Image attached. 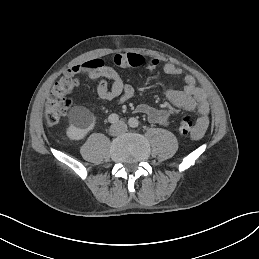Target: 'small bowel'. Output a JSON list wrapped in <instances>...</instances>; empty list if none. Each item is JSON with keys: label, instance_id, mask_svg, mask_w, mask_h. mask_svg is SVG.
Masks as SVG:
<instances>
[{"label": "small bowel", "instance_id": "obj_1", "mask_svg": "<svg viewBox=\"0 0 259 259\" xmlns=\"http://www.w3.org/2000/svg\"><path fill=\"white\" fill-rule=\"evenodd\" d=\"M110 64L102 59H93L85 63L75 65L67 70L66 74H84L88 79L97 80L96 91L103 100H117L124 103L132 98L134 89L121 79L115 67L135 68L144 66L149 70H155L159 61L149 59L137 53L115 54L110 58ZM163 70L171 76H180L182 69L172 63L164 65ZM111 82V85H109ZM184 87L181 90L169 89L165 91V97L174 106L185 111H196L198 113L192 137L201 138L209 126V103L207 95L196 85L195 79L191 75L184 77ZM136 112L145 115L152 123L167 125L168 112L164 109L154 108L149 105H139Z\"/></svg>", "mask_w": 259, "mask_h": 259}]
</instances>
